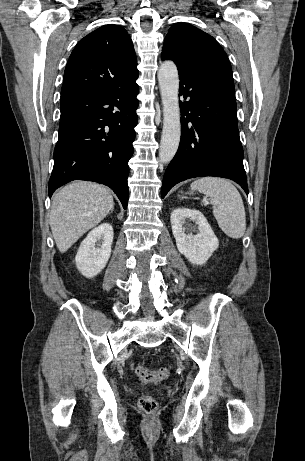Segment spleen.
Returning a JSON list of instances; mask_svg holds the SVG:
<instances>
[{
  "label": "spleen",
  "mask_w": 305,
  "mask_h": 461,
  "mask_svg": "<svg viewBox=\"0 0 305 461\" xmlns=\"http://www.w3.org/2000/svg\"><path fill=\"white\" fill-rule=\"evenodd\" d=\"M191 190H198L209 197L213 215L221 230L230 238L243 237L246 230V214L242 197L228 180L217 177H203L191 184Z\"/></svg>",
  "instance_id": "3e777b00"
}]
</instances>
